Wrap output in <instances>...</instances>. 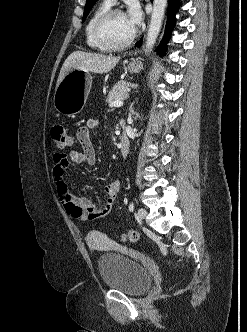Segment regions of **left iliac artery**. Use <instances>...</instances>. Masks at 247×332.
I'll use <instances>...</instances> for the list:
<instances>
[{
	"mask_svg": "<svg viewBox=\"0 0 247 332\" xmlns=\"http://www.w3.org/2000/svg\"><path fill=\"white\" fill-rule=\"evenodd\" d=\"M129 210L131 212H133V210H134V203L133 202L129 205Z\"/></svg>",
	"mask_w": 247,
	"mask_h": 332,
	"instance_id": "1",
	"label": "left iliac artery"
}]
</instances>
